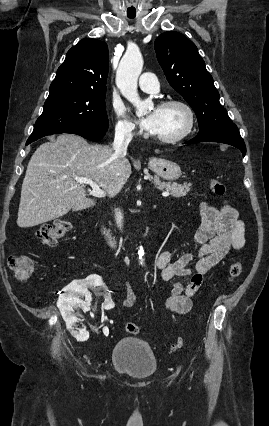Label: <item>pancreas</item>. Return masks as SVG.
Returning a JSON list of instances; mask_svg holds the SVG:
<instances>
[{
  "label": "pancreas",
  "instance_id": "1",
  "mask_svg": "<svg viewBox=\"0 0 269 426\" xmlns=\"http://www.w3.org/2000/svg\"><path fill=\"white\" fill-rule=\"evenodd\" d=\"M150 180L155 184L158 189H164L170 192L172 197H184L190 191L191 184H177L162 182L158 177H150Z\"/></svg>",
  "mask_w": 269,
  "mask_h": 426
}]
</instances>
